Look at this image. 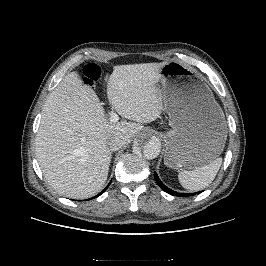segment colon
<instances>
[{
    "label": "colon",
    "mask_w": 266,
    "mask_h": 266,
    "mask_svg": "<svg viewBox=\"0 0 266 266\" xmlns=\"http://www.w3.org/2000/svg\"><path fill=\"white\" fill-rule=\"evenodd\" d=\"M87 85H93L101 76V69L96 64H88L81 70Z\"/></svg>",
    "instance_id": "obj_1"
}]
</instances>
